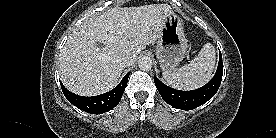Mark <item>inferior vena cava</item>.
Listing matches in <instances>:
<instances>
[{"label":"inferior vena cava","mask_w":276,"mask_h":138,"mask_svg":"<svg viewBox=\"0 0 276 138\" xmlns=\"http://www.w3.org/2000/svg\"><path fill=\"white\" fill-rule=\"evenodd\" d=\"M134 61H135L134 56L129 55V54L124 55V56L121 58V62H122V64L125 65V66H131V65L134 63Z\"/></svg>","instance_id":"602c4592"}]
</instances>
